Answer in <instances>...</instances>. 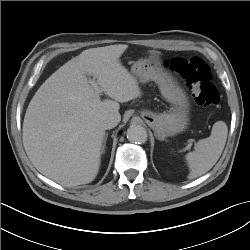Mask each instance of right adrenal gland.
Returning <instances> with one entry per match:
<instances>
[{
  "mask_svg": "<svg viewBox=\"0 0 250 250\" xmlns=\"http://www.w3.org/2000/svg\"><path fill=\"white\" fill-rule=\"evenodd\" d=\"M107 136H108V134L104 138V144H103V147H102V153H104V151H105Z\"/></svg>",
  "mask_w": 250,
  "mask_h": 250,
  "instance_id": "1",
  "label": "right adrenal gland"
}]
</instances>
